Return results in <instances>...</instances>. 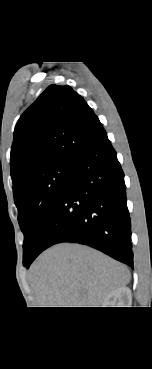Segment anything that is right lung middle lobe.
<instances>
[{"mask_svg": "<svg viewBox=\"0 0 152 369\" xmlns=\"http://www.w3.org/2000/svg\"><path fill=\"white\" fill-rule=\"evenodd\" d=\"M69 162H58L27 175L14 191L18 221L24 234V261L34 253L60 192L65 184Z\"/></svg>", "mask_w": 152, "mask_h": 369, "instance_id": "1", "label": "right lung middle lobe"}]
</instances>
